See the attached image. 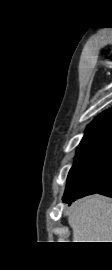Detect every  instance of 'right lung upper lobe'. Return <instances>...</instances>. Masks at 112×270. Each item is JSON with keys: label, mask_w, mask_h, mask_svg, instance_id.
Returning <instances> with one entry per match:
<instances>
[{"label": "right lung upper lobe", "mask_w": 112, "mask_h": 270, "mask_svg": "<svg viewBox=\"0 0 112 270\" xmlns=\"http://www.w3.org/2000/svg\"><path fill=\"white\" fill-rule=\"evenodd\" d=\"M112 126V113L105 111L87 127L86 132L100 127Z\"/></svg>", "instance_id": "right-lung-upper-lobe-1"}]
</instances>
